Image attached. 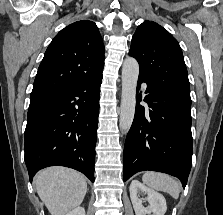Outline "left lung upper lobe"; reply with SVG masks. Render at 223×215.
Masks as SVG:
<instances>
[{"mask_svg":"<svg viewBox=\"0 0 223 215\" xmlns=\"http://www.w3.org/2000/svg\"><path fill=\"white\" fill-rule=\"evenodd\" d=\"M129 55L139 63V77L190 98V83L177 40L162 26L145 21L133 35Z\"/></svg>","mask_w":223,"mask_h":215,"instance_id":"left-lung-upper-lobe-1","label":"left lung upper lobe"}]
</instances>
